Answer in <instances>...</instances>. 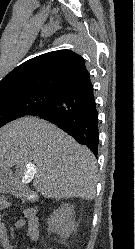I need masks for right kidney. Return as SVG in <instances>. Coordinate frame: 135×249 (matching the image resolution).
Masks as SVG:
<instances>
[{"label": "right kidney", "instance_id": "right-kidney-1", "mask_svg": "<svg viewBox=\"0 0 135 249\" xmlns=\"http://www.w3.org/2000/svg\"><path fill=\"white\" fill-rule=\"evenodd\" d=\"M74 209L70 204H63L48 218V232L57 233L62 239H66L75 229L73 218Z\"/></svg>", "mask_w": 135, "mask_h": 249}]
</instances>
